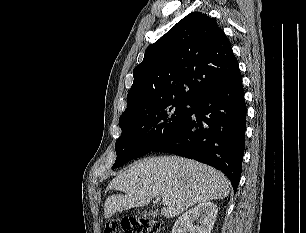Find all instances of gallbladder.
<instances>
[{
  "mask_svg": "<svg viewBox=\"0 0 306 233\" xmlns=\"http://www.w3.org/2000/svg\"><path fill=\"white\" fill-rule=\"evenodd\" d=\"M139 215L145 217L147 215V211L143 210V211L139 212Z\"/></svg>",
  "mask_w": 306,
  "mask_h": 233,
  "instance_id": "obj_1",
  "label": "gallbladder"
}]
</instances>
